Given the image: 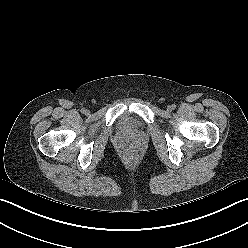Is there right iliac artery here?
Wrapping results in <instances>:
<instances>
[{"label":"right iliac artery","mask_w":248,"mask_h":248,"mask_svg":"<svg viewBox=\"0 0 248 248\" xmlns=\"http://www.w3.org/2000/svg\"><path fill=\"white\" fill-rule=\"evenodd\" d=\"M86 110L84 108L81 109V113H85Z\"/></svg>","instance_id":"right-iliac-artery-1"}]
</instances>
